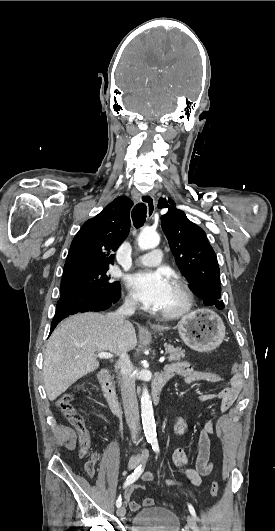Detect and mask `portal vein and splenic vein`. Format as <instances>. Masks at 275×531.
Masks as SVG:
<instances>
[{"instance_id": "obj_1", "label": "portal vein and splenic vein", "mask_w": 275, "mask_h": 531, "mask_svg": "<svg viewBox=\"0 0 275 531\" xmlns=\"http://www.w3.org/2000/svg\"><path fill=\"white\" fill-rule=\"evenodd\" d=\"M97 357L99 359H113L112 353H98ZM159 361L160 363H164L165 357H160Z\"/></svg>"}]
</instances>
